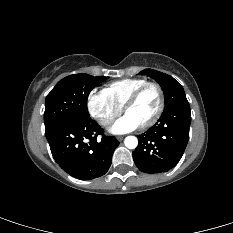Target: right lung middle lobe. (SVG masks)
Returning <instances> with one entry per match:
<instances>
[{
    "label": "right lung middle lobe",
    "mask_w": 233,
    "mask_h": 233,
    "mask_svg": "<svg viewBox=\"0 0 233 233\" xmlns=\"http://www.w3.org/2000/svg\"><path fill=\"white\" fill-rule=\"evenodd\" d=\"M108 77H94L85 73L60 80L45 101V129L61 122L90 117L87 99L90 91Z\"/></svg>",
    "instance_id": "obj_1"
}]
</instances>
